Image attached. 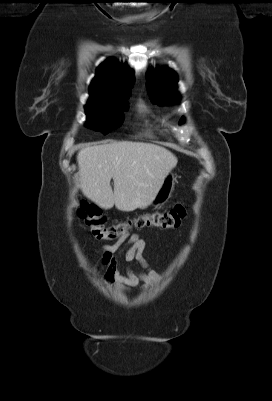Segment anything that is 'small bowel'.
<instances>
[{
	"label": "small bowel",
	"instance_id": "small-bowel-1",
	"mask_svg": "<svg viewBox=\"0 0 272 401\" xmlns=\"http://www.w3.org/2000/svg\"><path fill=\"white\" fill-rule=\"evenodd\" d=\"M145 246L146 242L140 235L125 233L113 245L103 247L96 271L104 270L105 281L120 289L127 290L141 282L145 287L152 286L160 280V275L150 268L143 257ZM121 258L139 262L143 271L128 268L124 274L121 273L118 266Z\"/></svg>",
	"mask_w": 272,
	"mask_h": 401
}]
</instances>
